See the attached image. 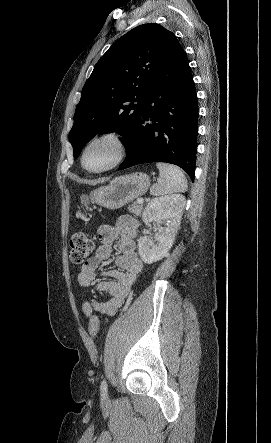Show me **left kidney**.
I'll return each mask as SVG.
<instances>
[{
  "mask_svg": "<svg viewBox=\"0 0 271 443\" xmlns=\"http://www.w3.org/2000/svg\"><path fill=\"white\" fill-rule=\"evenodd\" d=\"M185 206V198L181 194L161 196L151 200L142 214V220L146 225L150 222H165L166 227H159L161 231L154 237L143 235L138 239V251L145 263L159 261L167 255L173 245L177 229L181 223V216Z\"/></svg>",
  "mask_w": 271,
  "mask_h": 443,
  "instance_id": "5707ae66",
  "label": "left kidney"
}]
</instances>
